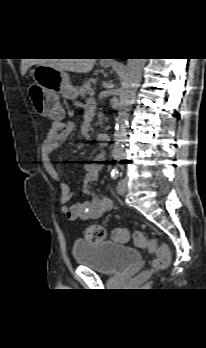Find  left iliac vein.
Segmentation results:
<instances>
[{
	"mask_svg": "<svg viewBox=\"0 0 206 348\" xmlns=\"http://www.w3.org/2000/svg\"><path fill=\"white\" fill-rule=\"evenodd\" d=\"M127 190V181L125 179H121L117 185V193L120 195H124Z\"/></svg>",
	"mask_w": 206,
	"mask_h": 348,
	"instance_id": "4c4485c4",
	"label": "left iliac vein"
}]
</instances>
